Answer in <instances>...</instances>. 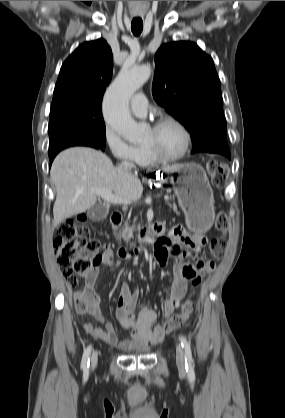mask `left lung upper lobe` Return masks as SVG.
Masks as SVG:
<instances>
[{
    "label": "left lung upper lobe",
    "mask_w": 285,
    "mask_h": 418,
    "mask_svg": "<svg viewBox=\"0 0 285 418\" xmlns=\"http://www.w3.org/2000/svg\"><path fill=\"white\" fill-rule=\"evenodd\" d=\"M155 101L190 132L192 153L230 151L226 141L220 79L213 59L197 44H163L155 54Z\"/></svg>",
    "instance_id": "obj_1"
}]
</instances>
